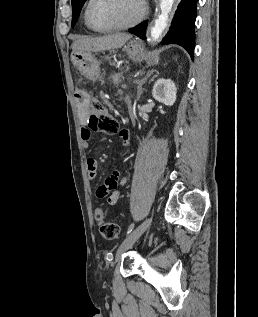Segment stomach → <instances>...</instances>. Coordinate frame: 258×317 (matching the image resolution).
Instances as JSON below:
<instances>
[{
    "mask_svg": "<svg viewBox=\"0 0 258 317\" xmlns=\"http://www.w3.org/2000/svg\"><path fill=\"white\" fill-rule=\"evenodd\" d=\"M124 50H126L132 60H138V62L143 60V58H147L149 62L157 64L159 60L157 52L145 54L144 48L139 40H130V42L125 44ZM106 58H108V56H106ZM71 60L84 76H94V74H99L100 72L99 60H97L95 54H92L91 50H74Z\"/></svg>",
    "mask_w": 258,
    "mask_h": 317,
    "instance_id": "0dacf381",
    "label": "stomach"
}]
</instances>
